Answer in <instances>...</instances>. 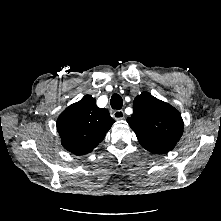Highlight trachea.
I'll return each instance as SVG.
<instances>
[{"label": "trachea", "mask_w": 221, "mask_h": 221, "mask_svg": "<svg viewBox=\"0 0 221 221\" xmlns=\"http://www.w3.org/2000/svg\"><path fill=\"white\" fill-rule=\"evenodd\" d=\"M110 105L115 110H120L123 106L122 97L119 94H113L110 99Z\"/></svg>", "instance_id": "obj_1"}]
</instances>
